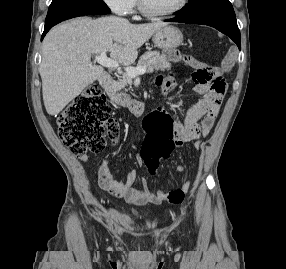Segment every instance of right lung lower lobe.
I'll use <instances>...</instances> for the list:
<instances>
[{"label":"right lung lower lobe","instance_id":"right-lung-lower-lobe-1","mask_svg":"<svg viewBox=\"0 0 286 269\" xmlns=\"http://www.w3.org/2000/svg\"><path fill=\"white\" fill-rule=\"evenodd\" d=\"M54 26V25H53ZM53 26H48V27H44V32L42 34L41 40H43L44 36L46 35V33L53 27Z\"/></svg>","mask_w":286,"mask_h":269}]
</instances>
